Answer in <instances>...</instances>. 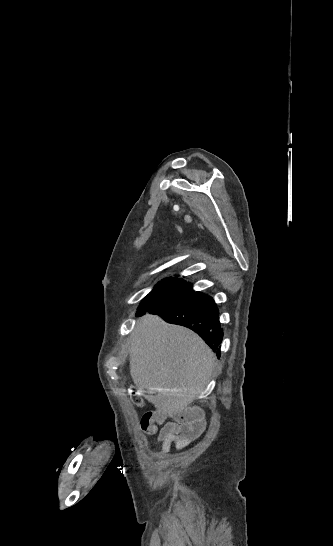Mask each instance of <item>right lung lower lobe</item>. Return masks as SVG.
I'll return each instance as SVG.
<instances>
[{
    "label": "right lung lower lobe",
    "mask_w": 333,
    "mask_h": 546,
    "mask_svg": "<svg viewBox=\"0 0 333 546\" xmlns=\"http://www.w3.org/2000/svg\"><path fill=\"white\" fill-rule=\"evenodd\" d=\"M146 312L160 315L169 323L188 327L198 333L219 356L223 330L220 327L219 312L213 298L193 292L173 301L160 304L150 310H138L136 316Z\"/></svg>",
    "instance_id": "98d812e1"
}]
</instances>
